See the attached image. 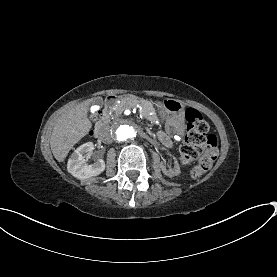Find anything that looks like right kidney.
I'll return each instance as SVG.
<instances>
[{
    "label": "right kidney",
    "instance_id": "right-kidney-1",
    "mask_svg": "<svg viewBox=\"0 0 277 277\" xmlns=\"http://www.w3.org/2000/svg\"><path fill=\"white\" fill-rule=\"evenodd\" d=\"M94 144L87 142L79 146L70 156L67 163V170L78 179H87L97 176L105 170V162L99 159L93 164H88L85 155L92 152Z\"/></svg>",
    "mask_w": 277,
    "mask_h": 277
}]
</instances>
